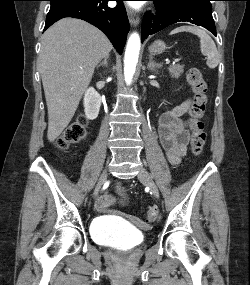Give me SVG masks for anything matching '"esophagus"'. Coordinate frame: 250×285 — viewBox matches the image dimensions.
Instances as JSON below:
<instances>
[{
	"label": "esophagus",
	"mask_w": 250,
	"mask_h": 285,
	"mask_svg": "<svg viewBox=\"0 0 250 285\" xmlns=\"http://www.w3.org/2000/svg\"><path fill=\"white\" fill-rule=\"evenodd\" d=\"M127 14H128V19H129L130 24L133 27H137L140 23L139 15L131 8H128Z\"/></svg>",
	"instance_id": "34e87169"
}]
</instances>
